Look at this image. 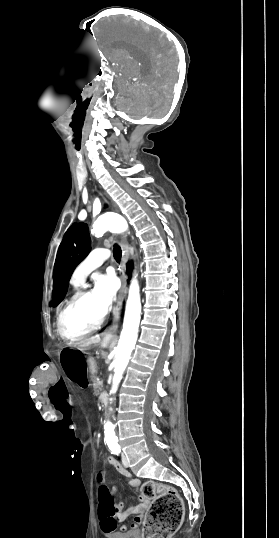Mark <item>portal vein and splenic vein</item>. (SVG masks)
<instances>
[{
	"mask_svg": "<svg viewBox=\"0 0 279 538\" xmlns=\"http://www.w3.org/2000/svg\"><path fill=\"white\" fill-rule=\"evenodd\" d=\"M99 383H100V385H103V382H102V380H99Z\"/></svg>",
	"mask_w": 279,
	"mask_h": 538,
	"instance_id": "1",
	"label": "portal vein and splenic vein"
}]
</instances>
